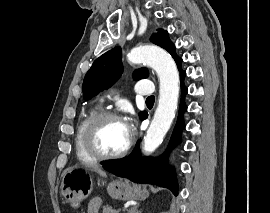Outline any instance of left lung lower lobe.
<instances>
[{
    "label": "left lung lower lobe",
    "instance_id": "0a47b994",
    "mask_svg": "<svg viewBox=\"0 0 270 213\" xmlns=\"http://www.w3.org/2000/svg\"><path fill=\"white\" fill-rule=\"evenodd\" d=\"M182 99L180 103L179 116L174 128L169 147L160 158H141L139 145L137 149L128 157L118 159L112 163L103 165L104 169L120 177L128 178L137 183H150L170 189L174 195H177V181L173 169L167 167V155L169 150L180 142V133L184 127L183 113L186 110L184 96L187 88L183 84L186 76L185 71H180ZM147 115L143 119H146Z\"/></svg>",
    "mask_w": 270,
    "mask_h": 213
}]
</instances>
